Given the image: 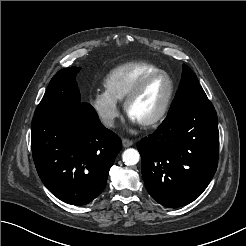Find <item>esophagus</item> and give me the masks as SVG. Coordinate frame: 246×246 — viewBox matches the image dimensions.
I'll use <instances>...</instances> for the list:
<instances>
[{
    "label": "esophagus",
    "instance_id": "esophagus-1",
    "mask_svg": "<svg viewBox=\"0 0 246 246\" xmlns=\"http://www.w3.org/2000/svg\"><path fill=\"white\" fill-rule=\"evenodd\" d=\"M122 145L123 147H130L133 145V141L132 140H129V139H126V138H123L122 139Z\"/></svg>",
    "mask_w": 246,
    "mask_h": 246
}]
</instances>
